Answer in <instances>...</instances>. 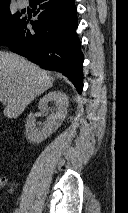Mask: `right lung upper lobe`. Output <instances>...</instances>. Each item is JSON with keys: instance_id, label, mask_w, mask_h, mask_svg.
<instances>
[{"instance_id": "1", "label": "right lung upper lobe", "mask_w": 128, "mask_h": 213, "mask_svg": "<svg viewBox=\"0 0 128 213\" xmlns=\"http://www.w3.org/2000/svg\"><path fill=\"white\" fill-rule=\"evenodd\" d=\"M9 2H10V0H0V6L7 5V4H9Z\"/></svg>"}]
</instances>
